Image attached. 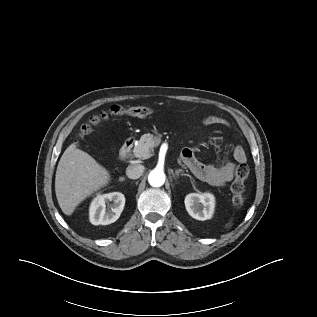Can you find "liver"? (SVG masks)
<instances>
[{
    "label": "liver",
    "mask_w": 317,
    "mask_h": 317,
    "mask_svg": "<svg viewBox=\"0 0 317 317\" xmlns=\"http://www.w3.org/2000/svg\"><path fill=\"white\" fill-rule=\"evenodd\" d=\"M110 173L88 153L71 144L63 153L55 175V193L65 215H71L86 197L106 186Z\"/></svg>",
    "instance_id": "obj_1"
}]
</instances>
